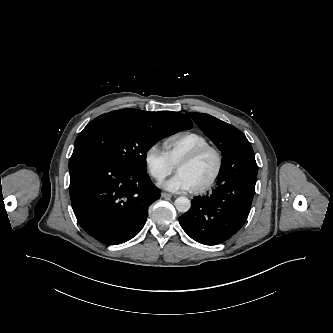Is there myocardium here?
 Listing matches in <instances>:
<instances>
[{"mask_svg":"<svg viewBox=\"0 0 333 333\" xmlns=\"http://www.w3.org/2000/svg\"><path fill=\"white\" fill-rule=\"evenodd\" d=\"M206 153H212L215 156L216 167L211 177L204 184L192 190L194 193H203L207 191L215 184V182L219 178L223 167V157L220 151L211 145L202 146L184 156L177 164L178 169L181 165L189 164L198 160Z\"/></svg>","mask_w":333,"mask_h":333,"instance_id":"f54148a6","label":"myocardium"}]
</instances>
